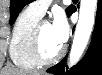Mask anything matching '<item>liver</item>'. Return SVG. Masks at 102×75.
<instances>
[{
	"label": "liver",
	"mask_w": 102,
	"mask_h": 75,
	"mask_svg": "<svg viewBox=\"0 0 102 75\" xmlns=\"http://www.w3.org/2000/svg\"><path fill=\"white\" fill-rule=\"evenodd\" d=\"M2 75H41L38 72H25L15 67H11L1 72Z\"/></svg>",
	"instance_id": "liver-1"
}]
</instances>
